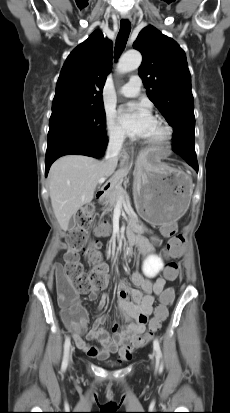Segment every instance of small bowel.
<instances>
[{
	"instance_id": "1",
	"label": "small bowel",
	"mask_w": 230,
	"mask_h": 413,
	"mask_svg": "<svg viewBox=\"0 0 230 413\" xmlns=\"http://www.w3.org/2000/svg\"><path fill=\"white\" fill-rule=\"evenodd\" d=\"M177 228V222H162V232L164 235H172L173 231H177ZM154 241L155 239H152L149 242L141 236H136L135 244L144 254L148 255L153 249ZM103 265L106 269L104 284L100 288H92L89 291L88 296L90 300H95L98 292L108 285L109 268L107 264L103 263ZM131 280L135 288L129 287L126 283L118 285L119 312L127 324L122 329H118V326L115 324L112 335L104 328L108 317L102 314L97 316L92 329L87 332V312L78 301L75 302V306L79 310V314L72 310L62 312L63 321L66 328L71 332L75 344L90 357L104 360L111 354L118 353L121 359H126L124 353L125 346L130 342L143 338L149 316L153 311L155 297L160 296L166 290L173 291L172 288L165 289L168 278L164 276L151 280L136 272L132 275ZM105 304L106 300L103 298L99 303V308L102 309ZM85 333L87 340H96L100 347L88 344L82 337Z\"/></svg>"
}]
</instances>
